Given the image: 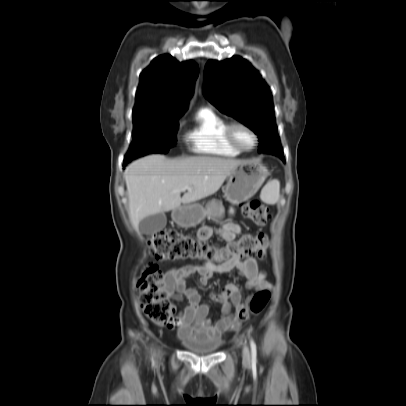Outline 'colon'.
Here are the masks:
<instances>
[{
  "label": "colon",
  "instance_id": "5ec220e1",
  "mask_svg": "<svg viewBox=\"0 0 406 406\" xmlns=\"http://www.w3.org/2000/svg\"><path fill=\"white\" fill-rule=\"evenodd\" d=\"M240 211L244 218L258 225H265L271 219L269 209L258 200L242 203ZM148 244L153 258L158 261L202 260L219 265L244 258L263 259L268 249V239L262 234H243L217 248L176 230L156 232L149 237ZM135 288L143 313L157 324L169 325L173 306L167 297L164 275L155 263L149 262L143 267ZM269 299V290L258 291L249 305L239 311V320L246 321L261 313Z\"/></svg>",
  "mask_w": 406,
  "mask_h": 406
}]
</instances>
